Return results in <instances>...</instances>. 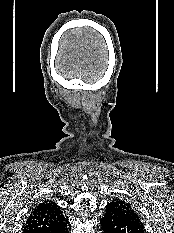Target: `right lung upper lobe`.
Segmentation results:
<instances>
[{
    "mask_svg": "<svg viewBox=\"0 0 174 233\" xmlns=\"http://www.w3.org/2000/svg\"><path fill=\"white\" fill-rule=\"evenodd\" d=\"M68 223L55 202L45 200L36 206L28 216L23 233H49Z\"/></svg>",
    "mask_w": 174,
    "mask_h": 233,
    "instance_id": "right-lung-upper-lobe-1",
    "label": "right lung upper lobe"
}]
</instances>
